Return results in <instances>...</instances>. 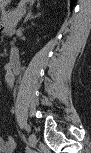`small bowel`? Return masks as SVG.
I'll return each instance as SVG.
<instances>
[{"instance_id": "c3829d8e", "label": "small bowel", "mask_w": 91, "mask_h": 153, "mask_svg": "<svg viewBox=\"0 0 91 153\" xmlns=\"http://www.w3.org/2000/svg\"><path fill=\"white\" fill-rule=\"evenodd\" d=\"M14 60H12V64L14 65ZM14 71H10V73L8 74V83L11 85L12 84V79H13V76H14ZM15 142L14 140L11 138V137H8L4 140H1L0 141V150L3 152V153H13L14 150H15Z\"/></svg>"}]
</instances>
